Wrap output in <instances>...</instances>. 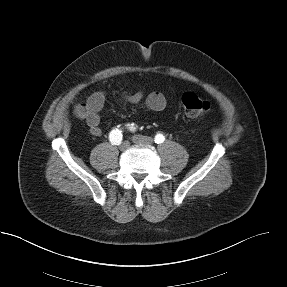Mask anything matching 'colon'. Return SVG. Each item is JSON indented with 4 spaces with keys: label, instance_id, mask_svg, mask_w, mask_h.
<instances>
[{
    "label": "colon",
    "instance_id": "5ec220e1",
    "mask_svg": "<svg viewBox=\"0 0 287 287\" xmlns=\"http://www.w3.org/2000/svg\"><path fill=\"white\" fill-rule=\"evenodd\" d=\"M180 105L184 113L191 118L204 117L211 112V104L192 92H186L182 95ZM75 112L79 117L84 118L87 113L86 104H78Z\"/></svg>",
    "mask_w": 287,
    "mask_h": 287
}]
</instances>
